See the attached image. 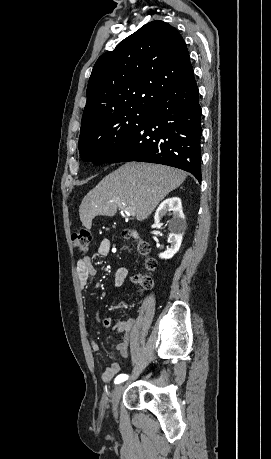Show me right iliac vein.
<instances>
[{"mask_svg": "<svg viewBox=\"0 0 271 459\" xmlns=\"http://www.w3.org/2000/svg\"><path fill=\"white\" fill-rule=\"evenodd\" d=\"M123 385L122 384H119L117 385L113 392H112V396H111V402H112V406H113V411H114V414H117V404L121 398V395H122V391H123Z\"/></svg>", "mask_w": 271, "mask_h": 459, "instance_id": "1", "label": "right iliac vein"}]
</instances>
